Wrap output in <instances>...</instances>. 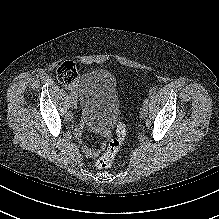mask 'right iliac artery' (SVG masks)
Returning a JSON list of instances; mask_svg holds the SVG:
<instances>
[{"label":"right iliac artery","mask_w":219,"mask_h":219,"mask_svg":"<svg viewBox=\"0 0 219 219\" xmlns=\"http://www.w3.org/2000/svg\"><path fill=\"white\" fill-rule=\"evenodd\" d=\"M74 96V94L72 92H70V97L72 98Z\"/></svg>","instance_id":"right-iliac-artery-1"}]
</instances>
